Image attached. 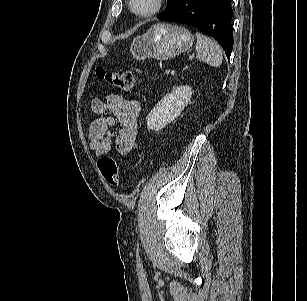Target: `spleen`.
I'll list each match as a JSON object with an SVG mask.
<instances>
[{
    "label": "spleen",
    "mask_w": 307,
    "mask_h": 301,
    "mask_svg": "<svg viewBox=\"0 0 307 301\" xmlns=\"http://www.w3.org/2000/svg\"><path fill=\"white\" fill-rule=\"evenodd\" d=\"M195 36L197 39V59L207 63L212 67H219L223 58L219 45L201 33H196Z\"/></svg>",
    "instance_id": "3e777b00"
}]
</instances>
